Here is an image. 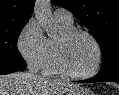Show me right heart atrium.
<instances>
[{"instance_id":"right-heart-atrium-1","label":"right heart atrium","mask_w":119,"mask_h":95,"mask_svg":"<svg viewBox=\"0 0 119 95\" xmlns=\"http://www.w3.org/2000/svg\"><path fill=\"white\" fill-rule=\"evenodd\" d=\"M17 48L31 70L43 68L48 55V39L35 19H30L20 31Z\"/></svg>"}]
</instances>
